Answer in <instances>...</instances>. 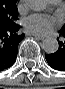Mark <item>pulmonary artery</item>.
<instances>
[{
    "label": "pulmonary artery",
    "mask_w": 65,
    "mask_h": 89,
    "mask_svg": "<svg viewBox=\"0 0 65 89\" xmlns=\"http://www.w3.org/2000/svg\"><path fill=\"white\" fill-rule=\"evenodd\" d=\"M51 2H52V3H56L57 1H56V0H52Z\"/></svg>",
    "instance_id": "obj_1"
}]
</instances>
